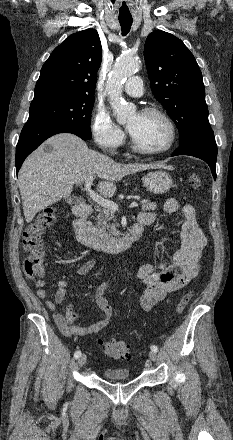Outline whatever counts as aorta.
I'll return each mask as SVG.
<instances>
[{
	"label": "aorta",
	"mask_w": 233,
	"mask_h": 440,
	"mask_svg": "<svg viewBox=\"0 0 233 440\" xmlns=\"http://www.w3.org/2000/svg\"><path fill=\"white\" fill-rule=\"evenodd\" d=\"M139 67L137 59L130 54H123L115 63L106 84V90L110 99L117 122L125 123L133 117L136 107L133 104H127L122 99V87L124 81L133 75Z\"/></svg>",
	"instance_id": "762f6f07"
}]
</instances>
